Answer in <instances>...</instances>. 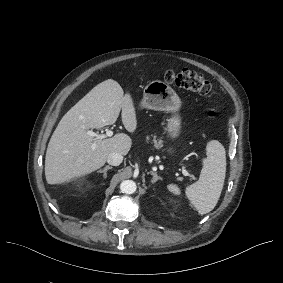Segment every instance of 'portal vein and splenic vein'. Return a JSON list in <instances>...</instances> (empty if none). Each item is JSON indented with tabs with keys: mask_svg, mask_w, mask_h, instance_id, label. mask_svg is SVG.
Segmentation results:
<instances>
[{
	"mask_svg": "<svg viewBox=\"0 0 283 283\" xmlns=\"http://www.w3.org/2000/svg\"><path fill=\"white\" fill-rule=\"evenodd\" d=\"M87 134L92 136V137H96V139H103L106 136L111 137L113 135V132L111 130H107L106 134H96L95 132L88 130ZM183 171H186V170H183Z\"/></svg>",
	"mask_w": 283,
	"mask_h": 283,
	"instance_id": "1",
	"label": "portal vein and splenic vein"
}]
</instances>
